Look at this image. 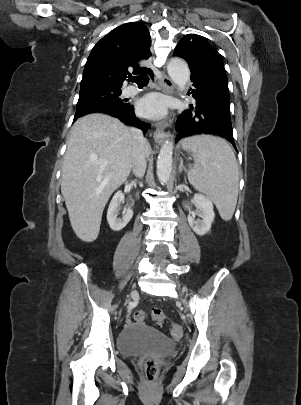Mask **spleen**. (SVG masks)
Instances as JSON below:
<instances>
[{"instance_id": "1", "label": "spleen", "mask_w": 301, "mask_h": 405, "mask_svg": "<svg viewBox=\"0 0 301 405\" xmlns=\"http://www.w3.org/2000/svg\"><path fill=\"white\" fill-rule=\"evenodd\" d=\"M182 147L195 156L188 180L216 205L223 220L232 218L238 198L239 173L234 152L221 138L200 135L185 138Z\"/></svg>"}]
</instances>
